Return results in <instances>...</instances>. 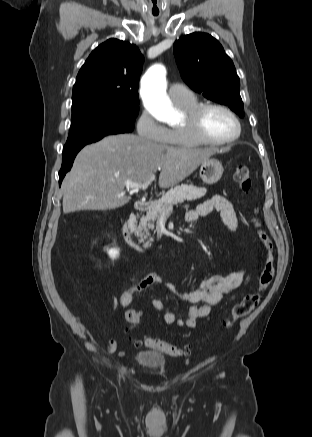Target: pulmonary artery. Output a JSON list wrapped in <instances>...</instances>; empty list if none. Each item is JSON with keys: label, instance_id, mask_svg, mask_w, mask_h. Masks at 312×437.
I'll return each instance as SVG.
<instances>
[{"label": "pulmonary artery", "instance_id": "1", "mask_svg": "<svg viewBox=\"0 0 312 437\" xmlns=\"http://www.w3.org/2000/svg\"><path fill=\"white\" fill-rule=\"evenodd\" d=\"M168 95L174 103H181L192 97L191 91L182 84H172L168 89Z\"/></svg>", "mask_w": 312, "mask_h": 437}]
</instances>
